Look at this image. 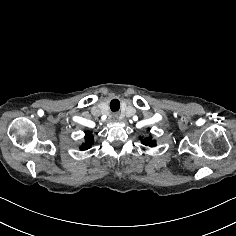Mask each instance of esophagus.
I'll use <instances>...</instances> for the list:
<instances>
[{"instance_id": "34e87169", "label": "esophagus", "mask_w": 236, "mask_h": 236, "mask_svg": "<svg viewBox=\"0 0 236 236\" xmlns=\"http://www.w3.org/2000/svg\"><path fill=\"white\" fill-rule=\"evenodd\" d=\"M110 119L113 121V122H116L118 119H119V115L117 113H112L110 115Z\"/></svg>"}]
</instances>
